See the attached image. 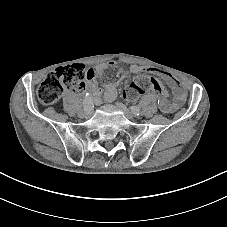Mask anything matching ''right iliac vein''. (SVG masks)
Masks as SVG:
<instances>
[{
	"instance_id": "right-iliac-vein-1",
	"label": "right iliac vein",
	"mask_w": 227,
	"mask_h": 227,
	"mask_svg": "<svg viewBox=\"0 0 227 227\" xmlns=\"http://www.w3.org/2000/svg\"><path fill=\"white\" fill-rule=\"evenodd\" d=\"M80 117H89V112L85 111V110H81L78 114Z\"/></svg>"
}]
</instances>
